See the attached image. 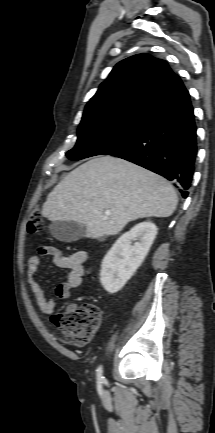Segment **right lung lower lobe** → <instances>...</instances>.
<instances>
[{
  "label": "right lung lower lobe",
  "instance_id": "98d812e1",
  "mask_svg": "<svg viewBox=\"0 0 215 433\" xmlns=\"http://www.w3.org/2000/svg\"><path fill=\"white\" fill-rule=\"evenodd\" d=\"M194 112L185 89L145 115L135 138L109 153L175 180L188 195L197 155Z\"/></svg>",
  "mask_w": 215,
  "mask_h": 433
}]
</instances>
